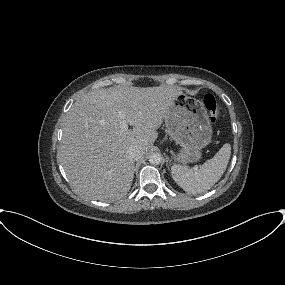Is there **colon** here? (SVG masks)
<instances>
[{"label": "colon", "instance_id": "5ec220e1", "mask_svg": "<svg viewBox=\"0 0 285 285\" xmlns=\"http://www.w3.org/2000/svg\"><path fill=\"white\" fill-rule=\"evenodd\" d=\"M203 104L208 111L209 120L212 124H215L218 121L220 116L221 107L215 97L211 94H206L203 98Z\"/></svg>", "mask_w": 285, "mask_h": 285}]
</instances>
